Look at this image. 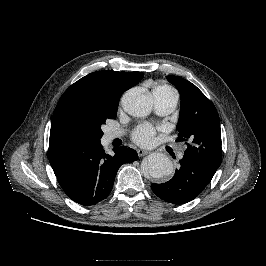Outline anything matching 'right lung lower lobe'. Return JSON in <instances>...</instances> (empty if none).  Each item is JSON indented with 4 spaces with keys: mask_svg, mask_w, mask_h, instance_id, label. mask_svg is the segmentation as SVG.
I'll return each mask as SVG.
<instances>
[{
    "mask_svg": "<svg viewBox=\"0 0 266 266\" xmlns=\"http://www.w3.org/2000/svg\"><path fill=\"white\" fill-rule=\"evenodd\" d=\"M106 154L100 142L59 139L49 142V161L55 176L73 201L91 206L112 190L119 167L138 159L137 152L125 146Z\"/></svg>",
    "mask_w": 266,
    "mask_h": 266,
    "instance_id": "1",
    "label": "right lung lower lobe"
}]
</instances>
